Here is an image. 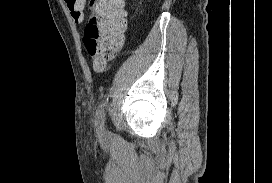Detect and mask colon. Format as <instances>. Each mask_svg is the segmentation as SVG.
<instances>
[{"label": "colon", "mask_w": 272, "mask_h": 183, "mask_svg": "<svg viewBox=\"0 0 272 183\" xmlns=\"http://www.w3.org/2000/svg\"><path fill=\"white\" fill-rule=\"evenodd\" d=\"M76 22L83 19L87 6V22L83 43L93 58L94 67L103 70L123 45L125 30L124 0H65Z\"/></svg>", "instance_id": "obj_1"}]
</instances>
